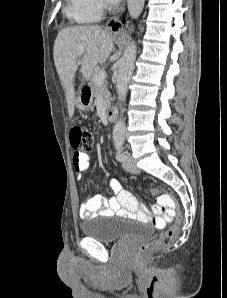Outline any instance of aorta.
Returning a JSON list of instances; mask_svg holds the SVG:
<instances>
[{"label":"aorta","instance_id":"762f6f07","mask_svg":"<svg viewBox=\"0 0 227 298\" xmlns=\"http://www.w3.org/2000/svg\"><path fill=\"white\" fill-rule=\"evenodd\" d=\"M144 3L145 0H128V12L132 19H137L140 16L144 7ZM136 53L137 50L135 42H130L126 47L123 56L119 60L116 88L119 94V100L122 102H124L126 99L128 83L134 70ZM125 132V121L123 118L120 117L113 128V139L124 140Z\"/></svg>","mask_w":227,"mask_h":298}]
</instances>
